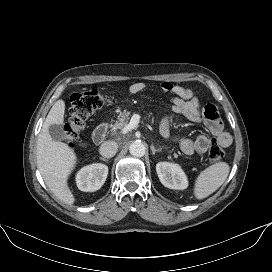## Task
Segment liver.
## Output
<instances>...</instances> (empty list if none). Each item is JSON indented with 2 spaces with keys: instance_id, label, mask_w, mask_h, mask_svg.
<instances>
[{
  "instance_id": "1",
  "label": "liver",
  "mask_w": 272,
  "mask_h": 272,
  "mask_svg": "<svg viewBox=\"0 0 272 272\" xmlns=\"http://www.w3.org/2000/svg\"><path fill=\"white\" fill-rule=\"evenodd\" d=\"M65 102L60 99L50 109L37 140V165L52 193L62 202L72 205L75 197L68 187V177L77 164L76 153L65 143L54 141L51 125L64 122Z\"/></svg>"
}]
</instances>
